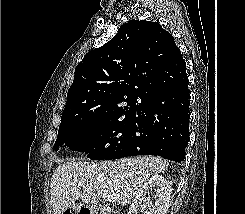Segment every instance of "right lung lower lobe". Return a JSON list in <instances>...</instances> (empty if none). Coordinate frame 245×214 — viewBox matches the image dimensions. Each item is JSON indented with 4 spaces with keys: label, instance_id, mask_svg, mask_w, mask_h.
<instances>
[{
    "label": "right lung lower lobe",
    "instance_id": "98d812e1",
    "mask_svg": "<svg viewBox=\"0 0 245 214\" xmlns=\"http://www.w3.org/2000/svg\"><path fill=\"white\" fill-rule=\"evenodd\" d=\"M188 79L153 90L135 109L127 143L115 159L155 155L181 162L189 140Z\"/></svg>",
    "mask_w": 245,
    "mask_h": 214
}]
</instances>
